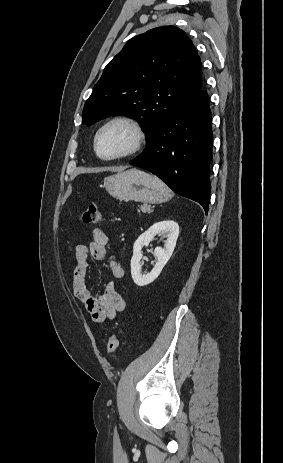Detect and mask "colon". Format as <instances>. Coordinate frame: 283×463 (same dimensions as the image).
Segmentation results:
<instances>
[{"instance_id":"colon-1","label":"colon","mask_w":283,"mask_h":463,"mask_svg":"<svg viewBox=\"0 0 283 463\" xmlns=\"http://www.w3.org/2000/svg\"><path fill=\"white\" fill-rule=\"evenodd\" d=\"M80 219L86 224H97L102 219L101 210L94 204L88 205L80 214ZM118 334H112L107 343V353L114 354L119 346Z\"/></svg>"}]
</instances>
